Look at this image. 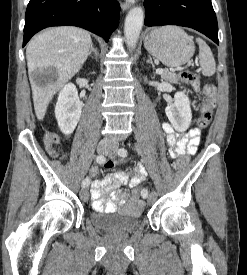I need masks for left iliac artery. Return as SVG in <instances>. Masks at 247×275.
Masks as SVG:
<instances>
[{
	"label": "left iliac artery",
	"mask_w": 247,
	"mask_h": 275,
	"mask_svg": "<svg viewBox=\"0 0 247 275\" xmlns=\"http://www.w3.org/2000/svg\"><path fill=\"white\" fill-rule=\"evenodd\" d=\"M118 154H119V156H121V157H126L127 154H128L127 149H125V148L119 149V150H118ZM143 190H144V189H143ZM143 190H142L141 194L143 193ZM146 190H147V189H146ZM145 195L148 196V190L146 191Z\"/></svg>",
	"instance_id": "left-iliac-artery-1"
}]
</instances>
